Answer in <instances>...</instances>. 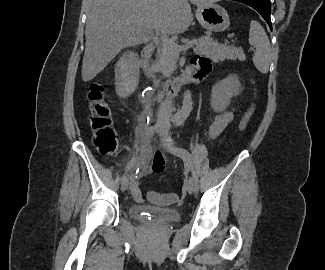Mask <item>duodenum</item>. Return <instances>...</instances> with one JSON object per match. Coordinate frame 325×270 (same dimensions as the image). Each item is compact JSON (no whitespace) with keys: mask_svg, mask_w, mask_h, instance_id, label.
<instances>
[{"mask_svg":"<svg viewBox=\"0 0 325 270\" xmlns=\"http://www.w3.org/2000/svg\"><path fill=\"white\" fill-rule=\"evenodd\" d=\"M154 52V45L152 43L146 45L142 51V56L139 61V67L145 77V80L148 84H153V71L151 68L150 60ZM192 78L183 74L179 77H176L170 80L164 87L157 89L159 101L167 102L173 99L180 88L190 82Z\"/></svg>","mask_w":325,"mask_h":270,"instance_id":"duodenum-1","label":"duodenum"}]
</instances>
